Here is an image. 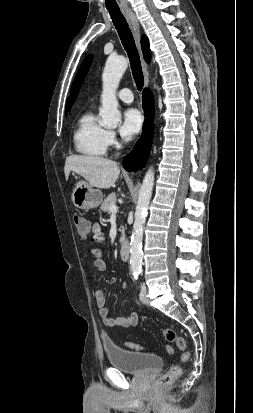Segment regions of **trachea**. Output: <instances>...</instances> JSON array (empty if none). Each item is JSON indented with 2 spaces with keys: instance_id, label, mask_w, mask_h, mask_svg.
I'll use <instances>...</instances> for the list:
<instances>
[{
  "instance_id": "1",
  "label": "trachea",
  "mask_w": 253,
  "mask_h": 413,
  "mask_svg": "<svg viewBox=\"0 0 253 413\" xmlns=\"http://www.w3.org/2000/svg\"><path fill=\"white\" fill-rule=\"evenodd\" d=\"M108 11L113 21V24L119 34L121 43L128 54L132 75L136 83L137 89L141 91L144 85V77L142 73L139 54L131 30L120 10Z\"/></svg>"
}]
</instances>
